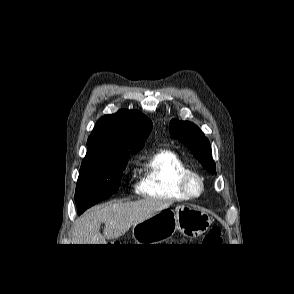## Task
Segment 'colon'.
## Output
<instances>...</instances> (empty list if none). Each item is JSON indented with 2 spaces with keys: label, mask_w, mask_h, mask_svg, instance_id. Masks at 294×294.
Masks as SVG:
<instances>
[{
  "label": "colon",
  "mask_w": 294,
  "mask_h": 294,
  "mask_svg": "<svg viewBox=\"0 0 294 294\" xmlns=\"http://www.w3.org/2000/svg\"><path fill=\"white\" fill-rule=\"evenodd\" d=\"M221 242V232L217 228H213L210 231H208L203 239V244H218Z\"/></svg>",
  "instance_id": "5ec220e1"
}]
</instances>
